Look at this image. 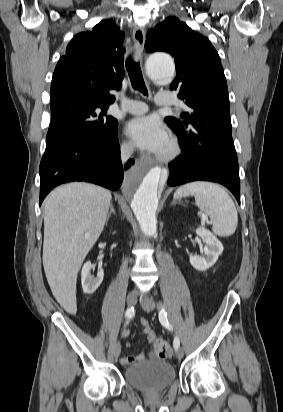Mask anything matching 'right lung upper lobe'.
I'll return each instance as SVG.
<instances>
[{"mask_svg":"<svg viewBox=\"0 0 283 412\" xmlns=\"http://www.w3.org/2000/svg\"><path fill=\"white\" fill-rule=\"evenodd\" d=\"M124 36L111 20L92 31L77 34L59 60L51 82V115H60L74 104L108 106L124 77Z\"/></svg>","mask_w":283,"mask_h":412,"instance_id":"1","label":"right lung upper lobe"}]
</instances>
